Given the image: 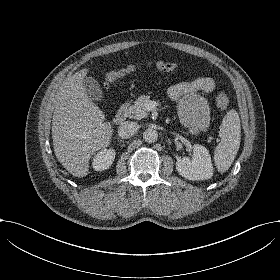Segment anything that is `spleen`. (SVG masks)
Instances as JSON below:
<instances>
[{
    "instance_id": "3e777b00",
    "label": "spleen",
    "mask_w": 280,
    "mask_h": 280,
    "mask_svg": "<svg viewBox=\"0 0 280 280\" xmlns=\"http://www.w3.org/2000/svg\"><path fill=\"white\" fill-rule=\"evenodd\" d=\"M221 142L214 152V161L220 173L226 172L232 165L240 147L241 126L238 113L230 110L220 126Z\"/></svg>"
}]
</instances>
